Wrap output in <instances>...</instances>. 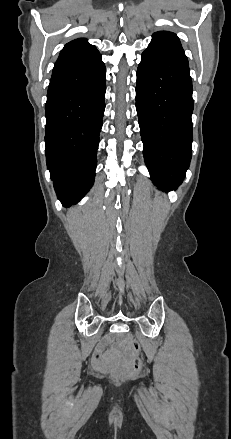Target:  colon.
I'll return each mask as SVG.
<instances>
[{
  "label": "colon",
  "mask_w": 231,
  "mask_h": 439,
  "mask_svg": "<svg viewBox=\"0 0 231 439\" xmlns=\"http://www.w3.org/2000/svg\"><path fill=\"white\" fill-rule=\"evenodd\" d=\"M130 349L134 354L130 371L124 376L125 378H132L136 376L142 369V353L141 346L138 341L133 340L130 342Z\"/></svg>",
  "instance_id": "obj_1"
}]
</instances>
